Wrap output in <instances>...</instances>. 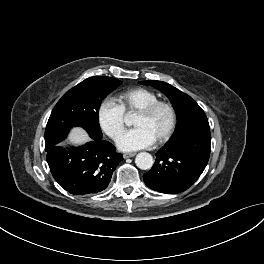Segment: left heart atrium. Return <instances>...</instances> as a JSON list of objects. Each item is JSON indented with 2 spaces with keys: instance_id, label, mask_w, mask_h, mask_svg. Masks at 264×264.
<instances>
[{
  "instance_id": "left-heart-atrium-1",
  "label": "left heart atrium",
  "mask_w": 264,
  "mask_h": 264,
  "mask_svg": "<svg viewBox=\"0 0 264 264\" xmlns=\"http://www.w3.org/2000/svg\"><path fill=\"white\" fill-rule=\"evenodd\" d=\"M156 139L143 127H136L125 132L118 140L117 145L123 151H135L151 146Z\"/></svg>"
}]
</instances>
